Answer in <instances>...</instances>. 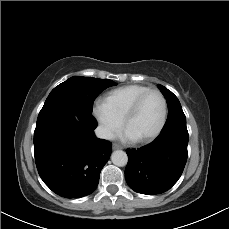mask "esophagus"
<instances>
[{"label": "esophagus", "instance_id": "1", "mask_svg": "<svg viewBox=\"0 0 229 229\" xmlns=\"http://www.w3.org/2000/svg\"><path fill=\"white\" fill-rule=\"evenodd\" d=\"M112 149H113V150H119V149H122V147H121L120 145L114 143V144L112 145Z\"/></svg>", "mask_w": 229, "mask_h": 229}]
</instances>
